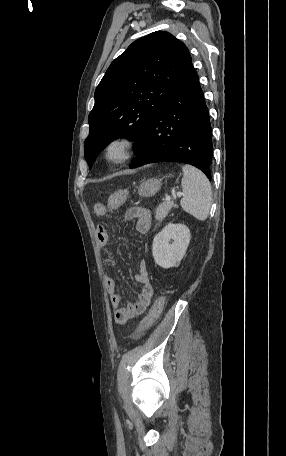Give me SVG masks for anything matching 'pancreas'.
Returning <instances> with one entry per match:
<instances>
[{
    "instance_id": "cf45deb5",
    "label": "pancreas",
    "mask_w": 286,
    "mask_h": 456,
    "mask_svg": "<svg viewBox=\"0 0 286 456\" xmlns=\"http://www.w3.org/2000/svg\"><path fill=\"white\" fill-rule=\"evenodd\" d=\"M172 207H177V205H174L171 201L161 203L155 211L156 220L162 221L168 215Z\"/></svg>"
}]
</instances>
